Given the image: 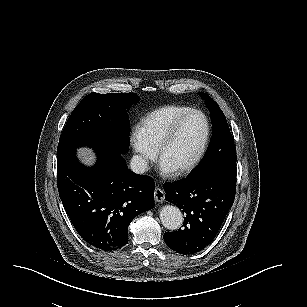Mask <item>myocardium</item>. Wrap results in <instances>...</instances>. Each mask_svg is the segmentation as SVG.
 <instances>
[{
    "label": "myocardium",
    "mask_w": 307,
    "mask_h": 307,
    "mask_svg": "<svg viewBox=\"0 0 307 307\" xmlns=\"http://www.w3.org/2000/svg\"><path fill=\"white\" fill-rule=\"evenodd\" d=\"M193 117L198 120V123L200 124V127L203 131L199 147L189 162H187L184 165H172L166 158V149L170 148L174 138V134L180 128V126L189 118ZM207 129L208 126L206 122V114L204 112H201L200 110H190L186 111L185 114H180L178 118H175L173 120L168 130V135H166L163 138L164 146H162L157 152L156 159L160 164V166L171 173L185 172L190 170L196 164V162L198 161V159L201 157V155L205 150L207 135H208Z\"/></svg>",
    "instance_id": "f54148a6"
}]
</instances>
